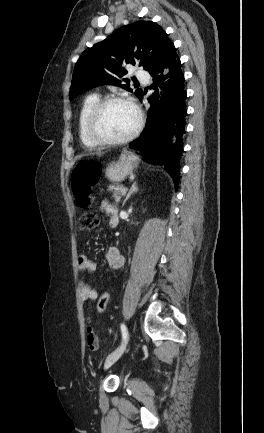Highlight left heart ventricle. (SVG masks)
<instances>
[{
    "mask_svg": "<svg viewBox=\"0 0 264 433\" xmlns=\"http://www.w3.org/2000/svg\"><path fill=\"white\" fill-rule=\"evenodd\" d=\"M136 124V114L127 104L114 103L107 106L99 116L96 131L106 138L127 135Z\"/></svg>",
    "mask_w": 264,
    "mask_h": 433,
    "instance_id": "obj_1",
    "label": "left heart ventricle"
}]
</instances>
